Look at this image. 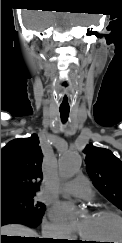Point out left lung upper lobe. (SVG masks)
I'll return each instance as SVG.
<instances>
[{"label":"left lung upper lobe","instance_id":"5c2ea615","mask_svg":"<svg viewBox=\"0 0 122 243\" xmlns=\"http://www.w3.org/2000/svg\"><path fill=\"white\" fill-rule=\"evenodd\" d=\"M86 170L93 184L111 203L122 210V162L107 149L86 146Z\"/></svg>","mask_w":122,"mask_h":243}]
</instances>
